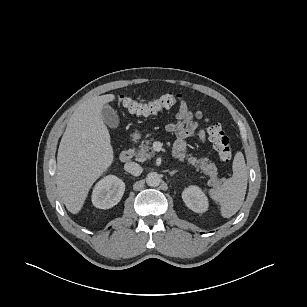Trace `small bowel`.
<instances>
[{"instance_id":"small-bowel-1","label":"small bowel","mask_w":307,"mask_h":307,"mask_svg":"<svg viewBox=\"0 0 307 307\" xmlns=\"http://www.w3.org/2000/svg\"><path fill=\"white\" fill-rule=\"evenodd\" d=\"M202 118L201 111H191L184 100L180 101L178 112L175 115V120L166 125V130L176 136L173 145L174 154L180 158L185 155L187 151V143L185 138L197 132L199 141L204 142L206 139V132L199 127L197 120Z\"/></svg>"}]
</instances>
